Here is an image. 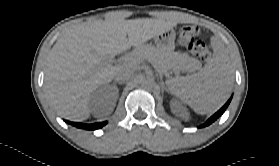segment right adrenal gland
I'll return each instance as SVG.
<instances>
[{
	"instance_id": "1",
	"label": "right adrenal gland",
	"mask_w": 279,
	"mask_h": 166,
	"mask_svg": "<svg viewBox=\"0 0 279 166\" xmlns=\"http://www.w3.org/2000/svg\"><path fill=\"white\" fill-rule=\"evenodd\" d=\"M118 83L121 84V85L123 84V82H118Z\"/></svg>"
}]
</instances>
